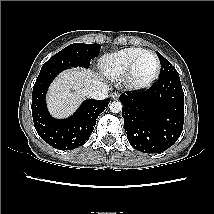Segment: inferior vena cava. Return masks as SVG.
I'll list each match as a JSON object with an SVG mask.
<instances>
[{
    "mask_svg": "<svg viewBox=\"0 0 214 214\" xmlns=\"http://www.w3.org/2000/svg\"><path fill=\"white\" fill-rule=\"evenodd\" d=\"M109 86L105 83L98 82L96 84L90 85L85 89V93L89 98L95 100H103L108 97Z\"/></svg>",
    "mask_w": 214,
    "mask_h": 214,
    "instance_id": "obj_1",
    "label": "inferior vena cava"
}]
</instances>
